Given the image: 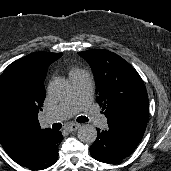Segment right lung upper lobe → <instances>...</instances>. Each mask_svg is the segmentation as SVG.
I'll list each match as a JSON object with an SVG mask.
<instances>
[{"instance_id":"obj_1","label":"right lung upper lobe","mask_w":171,"mask_h":171,"mask_svg":"<svg viewBox=\"0 0 171 171\" xmlns=\"http://www.w3.org/2000/svg\"><path fill=\"white\" fill-rule=\"evenodd\" d=\"M61 56L62 53L34 52L11 63L3 72L15 75L24 94L22 121L16 125L0 121V143L16 163L31 155L52 132L50 128L41 129L37 117L46 96L43 81L47 69Z\"/></svg>"}]
</instances>
